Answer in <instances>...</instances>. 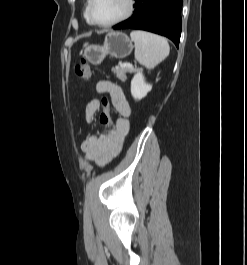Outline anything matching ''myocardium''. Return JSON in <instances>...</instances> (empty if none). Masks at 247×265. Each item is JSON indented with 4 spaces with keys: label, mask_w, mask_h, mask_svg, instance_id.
<instances>
[{
    "label": "myocardium",
    "mask_w": 247,
    "mask_h": 265,
    "mask_svg": "<svg viewBox=\"0 0 247 265\" xmlns=\"http://www.w3.org/2000/svg\"><path fill=\"white\" fill-rule=\"evenodd\" d=\"M93 3H94V0H88L87 11H86L87 18L92 25H95L100 28H110V27H114L118 24L125 22L133 15L135 11V7H136V0H127V7H126L125 12L122 15H120L116 19L109 21L107 23H99L95 21L92 16Z\"/></svg>",
    "instance_id": "f54148a6"
}]
</instances>
